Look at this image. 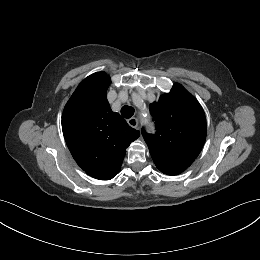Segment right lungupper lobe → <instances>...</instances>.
<instances>
[{
  "mask_svg": "<svg viewBox=\"0 0 260 260\" xmlns=\"http://www.w3.org/2000/svg\"><path fill=\"white\" fill-rule=\"evenodd\" d=\"M110 77L96 72L85 78L67 102L62 130L77 164L90 176L110 180L121 168L126 148L140 136L106 98Z\"/></svg>",
  "mask_w": 260,
  "mask_h": 260,
  "instance_id": "cb5924a9",
  "label": "right lung upper lobe"
}]
</instances>
